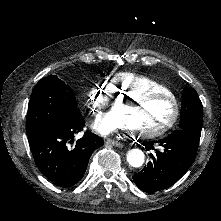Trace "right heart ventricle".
<instances>
[{
    "label": "right heart ventricle",
    "mask_w": 221,
    "mask_h": 221,
    "mask_svg": "<svg viewBox=\"0 0 221 221\" xmlns=\"http://www.w3.org/2000/svg\"><path fill=\"white\" fill-rule=\"evenodd\" d=\"M146 91L165 93L167 88L157 80L146 76H139L134 78L133 81L124 88L122 97L134 96Z\"/></svg>",
    "instance_id": "obj_1"
}]
</instances>
